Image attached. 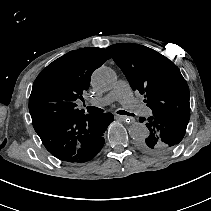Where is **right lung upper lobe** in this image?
<instances>
[{"mask_svg": "<svg viewBox=\"0 0 211 211\" xmlns=\"http://www.w3.org/2000/svg\"><path fill=\"white\" fill-rule=\"evenodd\" d=\"M110 55L104 48H82L56 59L36 78L29 98L35 131L84 113L75 101L83 99L93 71Z\"/></svg>", "mask_w": 211, "mask_h": 211, "instance_id": "right-lung-upper-lobe-1", "label": "right lung upper lobe"}]
</instances>
